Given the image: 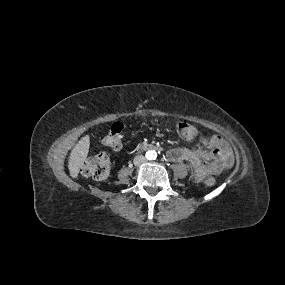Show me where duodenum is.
I'll list each match as a JSON object with an SVG mask.
<instances>
[{"mask_svg":"<svg viewBox=\"0 0 285 285\" xmlns=\"http://www.w3.org/2000/svg\"><path fill=\"white\" fill-rule=\"evenodd\" d=\"M140 149H149V148H158L156 145H151V144H143L142 146L139 147Z\"/></svg>","mask_w":285,"mask_h":285,"instance_id":"duodenum-1","label":"duodenum"}]
</instances>
